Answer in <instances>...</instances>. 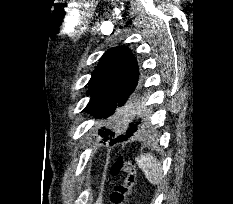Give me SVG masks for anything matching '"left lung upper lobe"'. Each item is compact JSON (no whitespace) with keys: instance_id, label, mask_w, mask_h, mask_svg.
Instances as JSON below:
<instances>
[{"instance_id":"obj_1","label":"left lung upper lobe","mask_w":233,"mask_h":204,"mask_svg":"<svg viewBox=\"0 0 233 204\" xmlns=\"http://www.w3.org/2000/svg\"><path fill=\"white\" fill-rule=\"evenodd\" d=\"M139 68L131 51L126 47L109 49L101 58L89 81L91 99L86 109L96 118H106L123 105V97L128 89L137 85ZM104 141L115 133L103 128L99 131Z\"/></svg>"}]
</instances>
